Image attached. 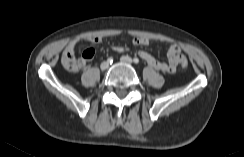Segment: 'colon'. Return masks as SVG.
Listing matches in <instances>:
<instances>
[{"mask_svg":"<svg viewBox=\"0 0 244 157\" xmlns=\"http://www.w3.org/2000/svg\"><path fill=\"white\" fill-rule=\"evenodd\" d=\"M90 53H88L89 55ZM62 65L70 72H79L84 65V57L77 58L73 51L65 50L61 58ZM181 66L186 68L188 66V60L186 57H181Z\"/></svg>","mask_w":244,"mask_h":157,"instance_id":"colon-1","label":"colon"}]
</instances>
